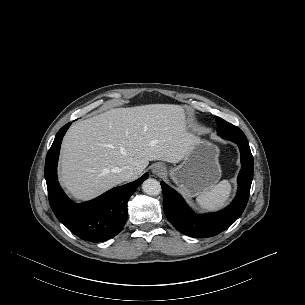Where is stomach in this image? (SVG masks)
Returning <instances> with one entry per match:
<instances>
[{"label":"stomach","instance_id":"0dacf381","mask_svg":"<svg viewBox=\"0 0 305 305\" xmlns=\"http://www.w3.org/2000/svg\"><path fill=\"white\" fill-rule=\"evenodd\" d=\"M219 148L206 139H197L182 164L171 168L168 175L187 196H196L218 182L221 168Z\"/></svg>","mask_w":305,"mask_h":305}]
</instances>
